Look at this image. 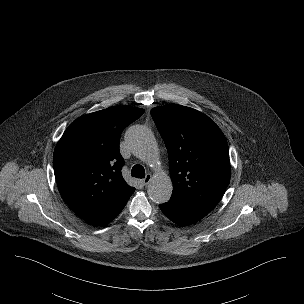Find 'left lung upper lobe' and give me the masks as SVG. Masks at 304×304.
<instances>
[{"instance_id": "left-lung-upper-lobe-1", "label": "left lung upper lobe", "mask_w": 304, "mask_h": 304, "mask_svg": "<svg viewBox=\"0 0 304 304\" xmlns=\"http://www.w3.org/2000/svg\"><path fill=\"white\" fill-rule=\"evenodd\" d=\"M151 115L169 155L171 198L211 211L230 181L224 134L208 116L189 107L159 106Z\"/></svg>"}]
</instances>
